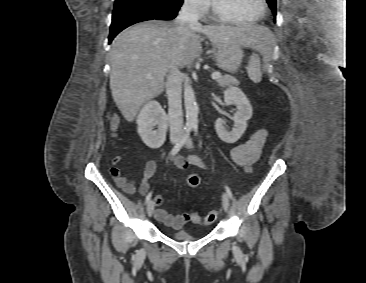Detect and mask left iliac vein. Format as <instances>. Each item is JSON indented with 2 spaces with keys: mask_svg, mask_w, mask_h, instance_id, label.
<instances>
[{
  "mask_svg": "<svg viewBox=\"0 0 366 283\" xmlns=\"http://www.w3.org/2000/svg\"><path fill=\"white\" fill-rule=\"evenodd\" d=\"M186 146H187L188 148H191V147H192V141H191V139H190V138L187 140V144H186ZM222 205H223L224 210H225L226 212H228L230 204H229L228 195H227L226 193H224V194L222 195Z\"/></svg>",
  "mask_w": 366,
  "mask_h": 283,
  "instance_id": "4c4485c4",
  "label": "left iliac vein"
}]
</instances>
